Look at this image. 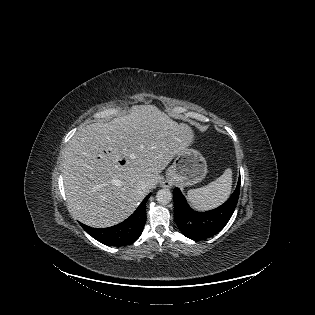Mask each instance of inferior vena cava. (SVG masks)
Wrapping results in <instances>:
<instances>
[{
  "label": "inferior vena cava",
  "instance_id": "obj_1",
  "mask_svg": "<svg viewBox=\"0 0 315 315\" xmlns=\"http://www.w3.org/2000/svg\"><path fill=\"white\" fill-rule=\"evenodd\" d=\"M138 192L139 193H146L148 192V184L145 181L140 182L138 185Z\"/></svg>",
  "mask_w": 315,
  "mask_h": 315
}]
</instances>
